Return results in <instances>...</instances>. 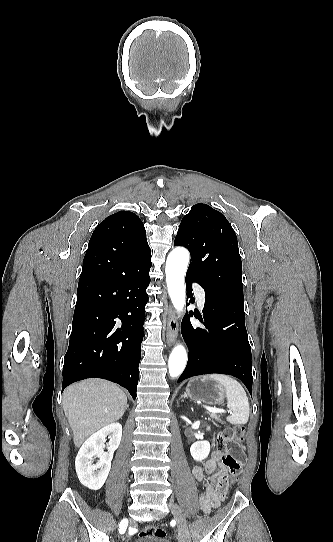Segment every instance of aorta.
<instances>
[{
	"label": "aorta",
	"instance_id": "aorta-1",
	"mask_svg": "<svg viewBox=\"0 0 333 542\" xmlns=\"http://www.w3.org/2000/svg\"><path fill=\"white\" fill-rule=\"evenodd\" d=\"M190 254L186 248H175L170 252L166 262V284L170 300L177 312H183L186 304L184 276L188 268ZM187 364V352L182 344L173 348L169 360L168 370L170 378H178L184 372Z\"/></svg>",
	"mask_w": 333,
	"mask_h": 542
}]
</instances>
